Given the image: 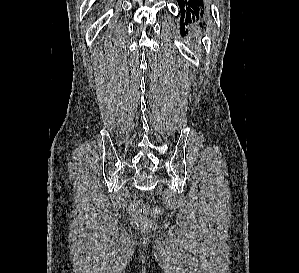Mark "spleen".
I'll return each instance as SVG.
<instances>
[{"mask_svg":"<svg viewBox=\"0 0 299 273\" xmlns=\"http://www.w3.org/2000/svg\"><path fill=\"white\" fill-rule=\"evenodd\" d=\"M194 37H195V39H196V42H197V45H196V47L199 49V47H200V44H201V41H200V36H199V34H198V33H196Z\"/></svg>","mask_w":299,"mask_h":273,"instance_id":"obj_1","label":"spleen"}]
</instances>
